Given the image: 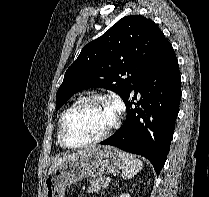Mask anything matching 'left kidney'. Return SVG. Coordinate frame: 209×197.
<instances>
[{
	"instance_id": "left-kidney-1",
	"label": "left kidney",
	"mask_w": 209,
	"mask_h": 197,
	"mask_svg": "<svg viewBox=\"0 0 209 197\" xmlns=\"http://www.w3.org/2000/svg\"><path fill=\"white\" fill-rule=\"evenodd\" d=\"M120 197H130V195L129 194H122V195H120Z\"/></svg>"
}]
</instances>
